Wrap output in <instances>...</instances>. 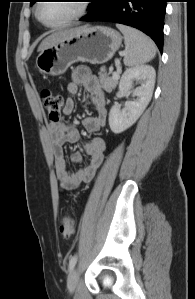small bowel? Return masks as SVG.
<instances>
[{
	"label": "small bowel",
	"mask_w": 195,
	"mask_h": 299,
	"mask_svg": "<svg viewBox=\"0 0 195 299\" xmlns=\"http://www.w3.org/2000/svg\"><path fill=\"white\" fill-rule=\"evenodd\" d=\"M83 87L90 95L91 102L96 109V114L84 119L83 125L88 133H94L103 128L107 122V107L104 91L99 79L91 74L86 68H76L72 74V81L67 84L66 91L68 98L65 101L63 112L66 115L73 113L75 103L73 96L76 95L80 87ZM48 130L52 142L55 169L61 186L66 190L77 189L81 184L92 180L97 168L102 164L106 143L102 138H93L85 145V150L90 156V162L84 165L75 173H70L64 159L63 144L74 143L78 140L77 129L64 121L50 122ZM76 163L82 162L80 152L73 154Z\"/></svg>",
	"instance_id": "1"
}]
</instances>
